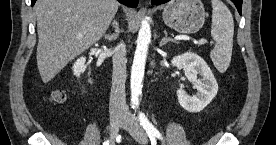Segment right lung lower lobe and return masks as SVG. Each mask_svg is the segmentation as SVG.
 I'll list each match as a JSON object with an SVG mask.
<instances>
[{
  "mask_svg": "<svg viewBox=\"0 0 276 145\" xmlns=\"http://www.w3.org/2000/svg\"><path fill=\"white\" fill-rule=\"evenodd\" d=\"M36 0H31V5H34ZM120 3L129 6V7H136L138 4V0H117Z\"/></svg>",
  "mask_w": 276,
  "mask_h": 145,
  "instance_id": "98d812e1",
  "label": "right lung lower lobe"
}]
</instances>
